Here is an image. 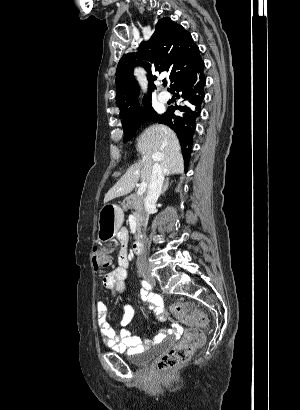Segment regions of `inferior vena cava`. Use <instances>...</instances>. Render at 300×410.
<instances>
[{"instance_id": "obj_1", "label": "inferior vena cava", "mask_w": 300, "mask_h": 410, "mask_svg": "<svg viewBox=\"0 0 300 410\" xmlns=\"http://www.w3.org/2000/svg\"><path fill=\"white\" fill-rule=\"evenodd\" d=\"M164 181V173L162 167L155 163L152 166V173L151 179L148 185L147 195L144 199V207H145V223L147 224L149 214H151L156 208V202L161 194L162 186ZM141 253L137 257L136 265L138 270H145L147 269V259L144 250H141Z\"/></svg>"}]
</instances>
